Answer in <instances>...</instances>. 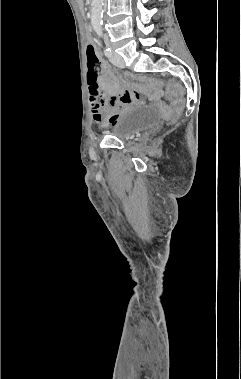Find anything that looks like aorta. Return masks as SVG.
I'll return each instance as SVG.
<instances>
[{
  "mask_svg": "<svg viewBox=\"0 0 241 379\" xmlns=\"http://www.w3.org/2000/svg\"><path fill=\"white\" fill-rule=\"evenodd\" d=\"M103 0H92L91 24L96 31H101Z\"/></svg>",
  "mask_w": 241,
  "mask_h": 379,
  "instance_id": "762f6f07",
  "label": "aorta"
}]
</instances>
